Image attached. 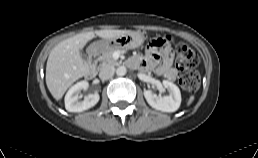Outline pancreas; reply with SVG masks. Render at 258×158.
<instances>
[{"label": "pancreas", "instance_id": "cf45deb5", "mask_svg": "<svg viewBox=\"0 0 258 158\" xmlns=\"http://www.w3.org/2000/svg\"><path fill=\"white\" fill-rule=\"evenodd\" d=\"M119 49L113 48L107 50L100 58L101 66H116L118 65V61L113 58V53Z\"/></svg>", "mask_w": 258, "mask_h": 158}]
</instances>
